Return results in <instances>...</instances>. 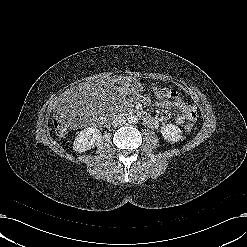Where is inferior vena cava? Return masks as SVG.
Listing matches in <instances>:
<instances>
[{
	"label": "inferior vena cava",
	"mask_w": 247,
	"mask_h": 247,
	"mask_svg": "<svg viewBox=\"0 0 247 247\" xmlns=\"http://www.w3.org/2000/svg\"><path fill=\"white\" fill-rule=\"evenodd\" d=\"M126 123L125 117L122 116H116L113 121H112V126L117 127V126H122Z\"/></svg>",
	"instance_id": "inferior-vena-cava-1"
}]
</instances>
